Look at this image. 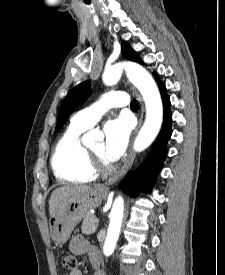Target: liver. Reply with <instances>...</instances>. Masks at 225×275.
<instances>
[{
	"mask_svg": "<svg viewBox=\"0 0 225 275\" xmlns=\"http://www.w3.org/2000/svg\"><path fill=\"white\" fill-rule=\"evenodd\" d=\"M92 190L91 186L88 185H68L55 189L49 200V211L50 214L54 211L56 206L66 197L74 196L86 193Z\"/></svg>",
	"mask_w": 225,
	"mask_h": 275,
	"instance_id": "1",
	"label": "liver"
}]
</instances>
